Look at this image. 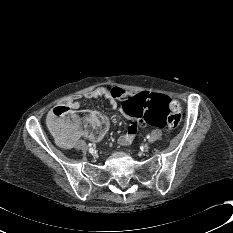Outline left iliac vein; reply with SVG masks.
<instances>
[{"label": "left iliac vein", "mask_w": 233, "mask_h": 233, "mask_svg": "<svg viewBox=\"0 0 233 233\" xmlns=\"http://www.w3.org/2000/svg\"><path fill=\"white\" fill-rule=\"evenodd\" d=\"M149 149H150V146L148 144L143 145V151L144 152L149 151Z\"/></svg>", "instance_id": "left-iliac-vein-1"}]
</instances>
